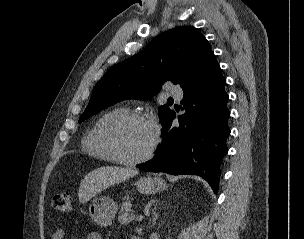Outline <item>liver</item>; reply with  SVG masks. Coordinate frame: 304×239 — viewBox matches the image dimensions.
I'll return each instance as SVG.
<instances>
[{
    "mask_svg": "<svg viewBox=\"0 0 304 239\" xmlns=\"http://www.w3.org/2000/svg\"><path fill=\"white\" fill-rule=\"evenodd\" d=\"M138 174V171L116 166H105L89 172L80 183L79 201L84 204L108 187L124 182Z\"/></svg>",
    "mask_w": 304,
    "mask_h": 239,
    "instance_id": "1",
    "label": "liver"
}]
</instances>
